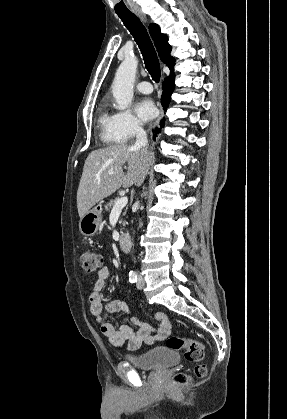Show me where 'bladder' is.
I'll return each instance as SVG.
<instances>
[{"instance_id":"1","label":"bladder","mask_w":287,"mask_h":419,"mask_svg":"<svg viewBox=\"0 0 287 419\" xmlns=\"http://www.w3.org/2000/svg\"><path fill=\"white\" fill-rule=\"evenodd\" d=\"M126 359L134 366L144 370L168 369L180 360L173 349L168 347H155L139 355H129Z\"/></svg>"}]
</instances>
